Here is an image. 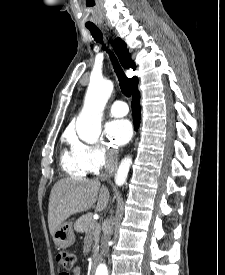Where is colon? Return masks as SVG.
<instances>
[{"instance_id":"1","label":"colon","mask_w":225,"mask_h":275,"mask_svg":"<svg viewBox=\"0 0 225 275\" xmlns=\"http://www.w3.org/2000/svg\"><path fill=\"white\" fill-rule=\"evenodd\" d=\"M56 263L66 269H71L75 263V255L68 251H59L55 256ZM59 275H68L66 272H61Z\"/></svg>"}]
</instances>
